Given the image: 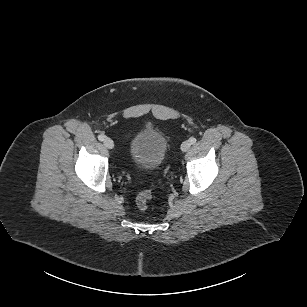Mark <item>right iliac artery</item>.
Wrapping results in <instances>:
<instances>
[{
	"mask_svg": "<svg viewBox=\"0 0 307 307\" xmlns=\"http://www.w3.org/2000/svg\"><path fill=\"white\" fill-rule=\"evenodd\" d=\"M104 138H105L104 135H102V134L98 135V139H99L100 141H103Z\"/></svg>",
	"mask_w": 307,
	"mask_h": 307,
	"instance_id": "right-iliac-artery-1",
	"label": "right iliac artery"
}]
</instances>
